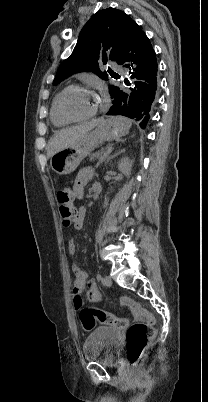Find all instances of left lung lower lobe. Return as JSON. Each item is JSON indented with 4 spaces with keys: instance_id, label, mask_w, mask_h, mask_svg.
<instances>
[{
    "instance_id": "left-lung-lower-lobe-1",
    "label": "left lung lower lobe",
    "mask_w": 208,
    "mask_h": 402,
    "mask_svg": "<svg viewBox=\"0 0 208 402\" xmlns=\"http://www.w3.org/2000/svg\"><path fill=\"white\" fill-rule=\"evenodd\" d=\"M118 64L128 70L130 81L125 89L114 87L112 106L107 115H122L141 121L145 128L157 89V59L155 51L139 25L134 22L121 51Z\"/></svg>"
}]
</instances>
